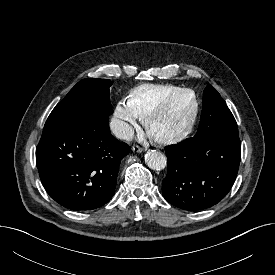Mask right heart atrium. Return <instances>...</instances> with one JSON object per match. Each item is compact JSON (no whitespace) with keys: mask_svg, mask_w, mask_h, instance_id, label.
<instances>
[{"mask_svg":"<svg viewBox=\"0 0 275 275\" xmlns=\"http://www.w3.org/2000/svg\"><path fill=\"white\" fill-rule=\"evenodd\" d=\"M138 116L130 108L128 103L121 100L117 103L112 120V128L115 134L122 139L129 137L133 125H135Z\"/></svg>","mask_w":275,"mask_h":275,"instance_id":"right-heart-atrium-1","label":"right heart atrium"}]
</instances>
